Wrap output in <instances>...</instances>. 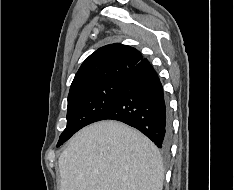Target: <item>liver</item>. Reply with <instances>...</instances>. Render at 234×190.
<instances>
[{
	"instance_id": "1",
	"label": "liver",
	"mask_w": 234,
	"mask_h": 190,
	"mask_svg": "<svg viewBox=\"0 0 234 190\" xmlns=\"http://www.w3.org/2000/svg\"><path fill=\"white\" fill-rule=\"evenodd\" d=\"M60 190H162L164 169L157 147L118 121L77 132L60 155Z\"/></svg>"
}]
</instances>
